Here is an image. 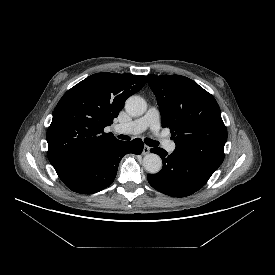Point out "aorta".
I'll use <instances>...</instances> for the list:
<instances>
[{
  "instance_id": "obj_1",
  "label": "aorta",
  "mask_w": 275,
  "mask_h": 275,
  "mask_svg": "<svg viewBox=\"0 0 275 275\" xmlns=\"http://www.w3.org/2000/svg\"><path fill=\"white\" fill-rule=\"evenodd\" d=\"M125 109L131 116H140L146 111L147 104L142 97L131 96L126 100ZM143 166L147 172L156 174L162 168V160L157 154L149 153L143 158Z\"/></svg>"
}]
</instances>
